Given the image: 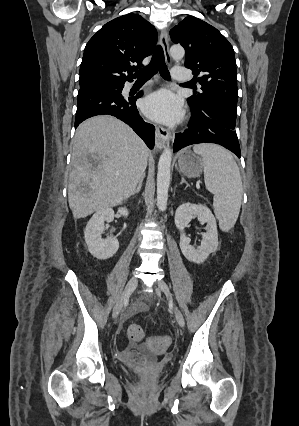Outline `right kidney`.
Wrapping results in <instances>:
<instances>
[{"label": "right kidney", "instance_id": "1", "mask_svg": "<svg viewBox=\"0 0 299 426\" xmlns=\"http://www.w3.org/2000/svg\"><path fill=\"white\" fill-rule=\"evenodd\" d=\"M118 213L127 216L128 210L125 207L118 208ZM114 211L112 208H105L97 211L86 225L84 238L91 255L99 260L111 258L119 248V242L116 237L111 236L102 239V233L105 228V222L114 220Z\"/></svg>", "mask_w": 299, "mask_h": 426}]
</instances>
